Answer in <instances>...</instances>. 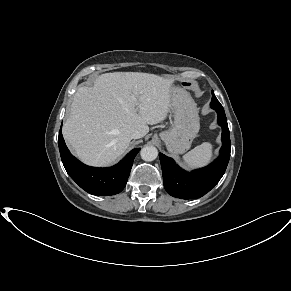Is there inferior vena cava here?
Segmentation results:
<instances>
[{"instance_id":"inferior-vena-cava-1","label":"inferior vena cava","mask_w":291,"mask_h":291,"mask_svg":"<svg viewBox=\"0 0 291 291\" xmlns=\"http://www.w3.org/2000/svg\"><path fill=\"white\" fill-rule=\"evenodd\" d=\"M143 137V134L141 131L139 130H134L132 133H131V139H139Z\"/></svg>"}]
</instances>
